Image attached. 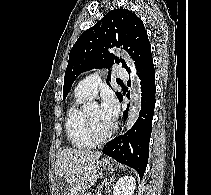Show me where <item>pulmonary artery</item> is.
<instances>
[{
  "instance_id": "pulmonary-artery-1",
  "label": "pulmonary artery",
  "mask_w": 211,
  "mask_h": 195,
  "mask_svg": "<svg viewBox=\"0 0 211 195\" xmlns=\"http://www.w3.org/2000/svg\"><path fill=\"white\" fill-rule=\"evenodd\" d=\"M114 72L121 79L126 80L128 78L126 70L119 64L114 65ZM100 83V74L98 72L92 73L78 83L75 92L79 95L91 98L96 95Z\"/></svg>"
}]
</instances>
